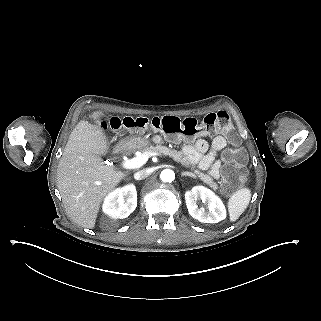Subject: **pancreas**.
<instances>
[{"mask_svg": "<svg viewBox=\"0 0 321 321\" xmlns=\"http://www.w3.org/2000/svg\"><path fill=\"white\" fill-rule=\"evenodd\" d=\"M136 150L141 151L142 153L148 152V153H158V154H164L168 155L169 157L173 158L174 161L181 163L185 167H189V162L184 158L183 153L181 151H177L175 149H170L166 146L162 145H146V146H137V145H128L125 146L123 149L124 154L126 153H132ZM193 169V168H192ZM194 175L196 177H199L205 184H207L210 188H212L214 191L218 189V184L214 182L213 178L209 176L208 174H204L199 170L194 169L193 171Z\"/></svg>", "mask_w": 321, "mask_h": 321, "instance_id": "obj_1", "label": "pancreas"}]
</instances>
